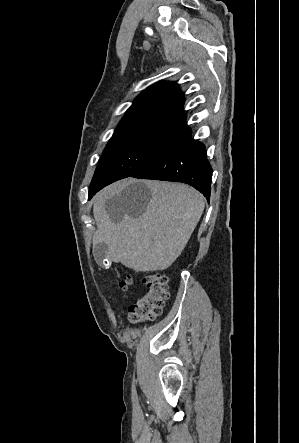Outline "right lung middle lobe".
I'll return each mask as SVG.
<instances>
[{
  "label": "right lung middle lobe",
  "instance_id": "dd1d6c3e",
  "mask_svg": "<svg viewBox=\"0 0 299 443\" xmlns=\"http://www.w3.org/2000/svg\"><path fill=\"white\" fill-rule=\"evenodd\" d=\"M184 128L182 122L143 121L114 132L94 173L89 195L140 170L175 142Z\"/></svg>",
  "mask_w": 299,
  "mask_h": 443
}]
</instances>
